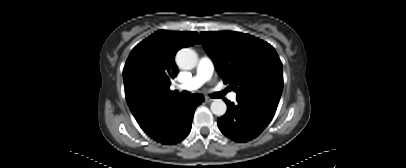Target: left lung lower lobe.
Wrapping results in <instances>:
<instances>
[{
	"label": "left lung lower lobe",
	"mask_w": 406,
	"mask_h": 168,
	"mask_svg": "<svg viewBox=\"0 0 406 168\" xmlns=\"http://www.w3.org/2000/svg\"><path fill=\"white\" fill-rule=\"evenodd\" d=\"M227 104V112L217 120L221 132L236 142H246L257 137L272 120L276 106L237 98V103Z\"/></svg>",
	"instance_id": "0a47b994"
}]
</instances>
